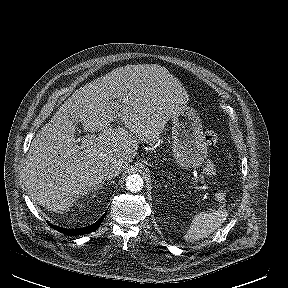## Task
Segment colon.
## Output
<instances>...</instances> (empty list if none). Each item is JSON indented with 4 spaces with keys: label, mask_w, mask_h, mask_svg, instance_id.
<instances>
[{
    "label": "colon",
    "mask_w": 288,
    "mask_h": 288,
    "mask_svg": "<svg viewBox=\"0 0 288 288\" xmlns=\"http://www.w3.org/2000/svg\"><path fill=\"white\" fill-rule=\"evenodd\" d=\"M205 142L209 146H215L218 143V135L213 130H208L204 136Z\"/></svg>",
    "instance_id": "obj_1"
}]
</instances>
